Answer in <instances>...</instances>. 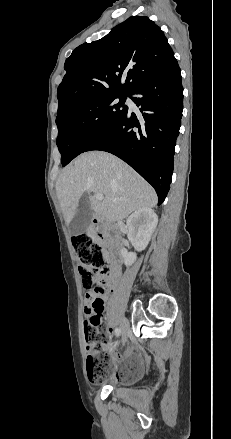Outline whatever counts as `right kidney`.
<instances>
[{
    "label": "right kidney",
    "instance_id": "ca27d5eb",
    "mask_svg": "<svg viewBox=\"0 0 231 439\" xmlns=\"http://www.w3.org/2000/svg\"><path fill=\"white\" fill-rule=\"evenodd\" d=\"M157 223L158 216L151 208L136 210L127 218L128 239L136 251H142L147 247ZM121 253L126 266H131L137 258L136 253L128 252L126 249H122Z\"/></svg>",
    "mask_w": 231,
    "mask_h": 439
}]
</instances>
